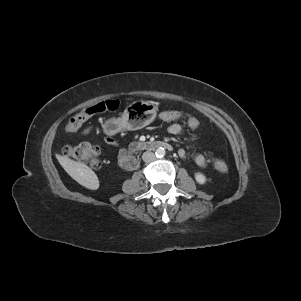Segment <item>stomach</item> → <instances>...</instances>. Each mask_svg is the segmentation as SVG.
Wrapping results in <instances>:
<instances>
[{"label": "stomach", "instance_id": "obj_1", "mask_svg": "<svg viewBox=\"0 0 301 301\" xmlns=\"http://www.w3.org/2000/svg\"><path fill=\"white\" fill-rule=\"evenodd\" d=\"M156 105L151 101L137 100L130 103L120 118L107 122L110 133L121 130H138L149 125L155 118Z\"/></svg>", "mask_w": 301, "mask_h": 301}]
</instances>
